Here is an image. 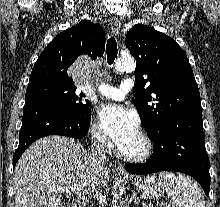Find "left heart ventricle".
<instances>
[{"label":"left heart ventricle","mask_w":220,"mask_h":207,"mask_svg":"<svg viewBox=\"0 0 220 207\" xmlns=\"http://www.w3.org/2000/svg\"><path fill=\"white\" fill-rule=\"evenodd\" d=\"M143 148L144 144L139 134H136L132 139L119 147V149L125 154H138Z\"/></svg>","instance_id":"left-heart-ventricle-1"}]
</instances>
